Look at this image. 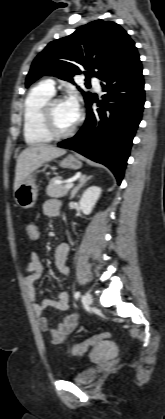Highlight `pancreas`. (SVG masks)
<instances>
[{
	"instance_id": "1",
	"label": "pancreas",
	"mask_w": 165,
	"mask_h": 419,
	"mask_svg": "<svg viewBox=\"0 0 165 419\" xmlns=\"http://www.w3.org/2000/svg\"><path fill=\"white\" fill-rule=\"evenodd\" d=\"M61 180L60 176L53 177L49 181V185L46 188V194L49 197L59 198L63 197L68 193L69 189L65 188V185L56 184V181Z\"/></svg>"
}]
</instances>
